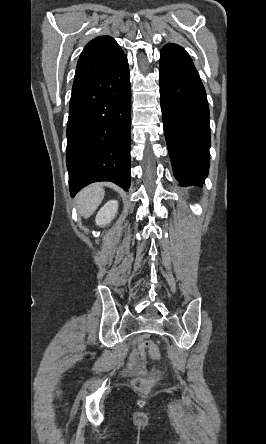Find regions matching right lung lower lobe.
<instances>
[{"label":"right lung lower lobe","instance_id":"98d812e1","mask_svg":"<svg viewBox=\"0 0 266 444\" xmlns=\"http://www.w3.org/2000/svg\"><path fill=\"white\" fill-rule=\"evenodd\" d=\"M131 85L124 54L96 80L71 95L66 163L71 196L86 185L131 183Z\"/></svg>","mask_w":266,"mask_h":444}]
</instances>
